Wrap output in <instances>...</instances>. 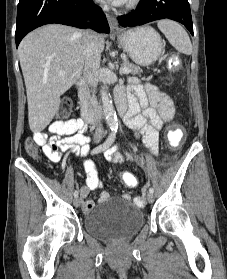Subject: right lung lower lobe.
<instances>
[{
    "label": "right lung lower lobe",
    "mask_w": 227,
    "mask_h": 279,
    "mask_svg": "<svg viewBox=\"0 0 227 279\" xmlns=\"http://www.w3.org/2000/svg\"><path fill=\"white\" fill-rule=\"evenodd\" d=\"M91 28L99 33H109L110 28L102 10L92 0H20L17 8L15 32L16 46L33 29L59 23L78 28Z\"/></svg>",
    "instance_id": "98d812e1"
}]
</instances>
